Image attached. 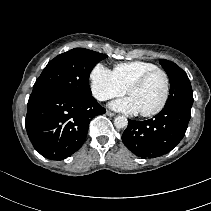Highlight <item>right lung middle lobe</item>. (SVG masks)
Returning a JSON list of instances; mask_svg holds the SVG:
<instances>
[{"label":"right lung middle lobe","mask_w":211,"mask_h":211,"mask_svg":"<svg viewBox=\"0 0 211 211\" xmlns=\"http://www.w3.org/2000/svg\"><path fill=\"white\" fill-rule=\"evenodd\" d=\"M107 55L74 48L51 60L36 80L34 92H58L76 98L91 97L89 75L92 67Z\"/></svg>","instance_id":"dd1d6c3e"}]
</instances>
